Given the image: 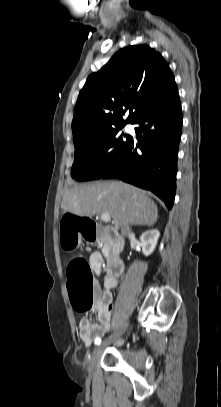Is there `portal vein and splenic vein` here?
I'll use <instances>...</instances> for the list:
<instances>
[{
	"label": "portal vein and splenic vein",
	"mask_w": 221,
	"mask_h": 407,
	"mask_svg": "<svg viewBox=\"0 0 221 407\" xmlns=\"http://www.w3.org/2000/svg\"><path fill=\"white\" fill-rule=\"evenodd\" d=\"M100 218L104 222H110L111 221V216H110L109 213H101Z\"/></svg>",
	"instance_id": "obj_1"
}]
</instances>
